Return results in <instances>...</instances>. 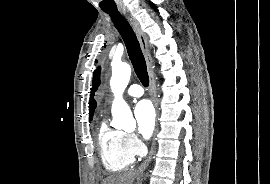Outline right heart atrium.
<instances>
[{
    "label": "right heart atrium",
    "instance_id": "right-heart-atrium-1",
    "mask_svg": "<svg viewBox=\"0 0 270 184\" xmlns=\"http://www.w3.org/2000/svg\"><path fill=\"white\" fill-rule=\"evenodd\" d=\"M126 142L135 155L142 153L143 146L134 134L127 133Z\"/></svg>",
    "mask_w": 270,
    "mask_h": 184
}]
</instances>
